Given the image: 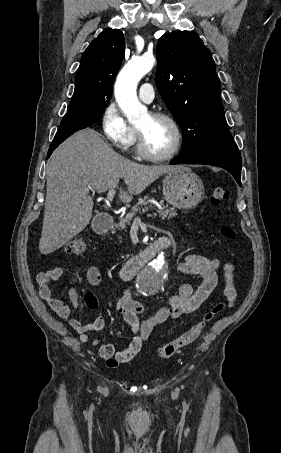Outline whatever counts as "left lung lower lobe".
<instances>
[{
	"label": "left lung lower lobe",
	"instance_id": "0a47b994",
	"mask_svg": "<svg viewBox=\"0 0 281 453\" xmlns=\"http://www.w3.org/2000/svg\"><path fill=\"white\" fill-rule=\"evenodd\" d=\"M170 164H206L227 170L241 186V155L235 144L175 158Z\"/></svg>",
	"mask_w": 281,
	"mask_h": 453
}]
</instances>
